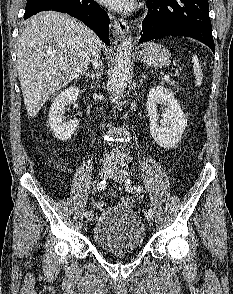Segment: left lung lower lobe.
Listing matches in <instances>:
<instances>
[{"label": "left lung lower lobe", "instance_id": "1", "mask_svg": "<svg viewBox=\"0 0 233 294\" xmlns=\"http://www.w3.org/2000/svg\"><path fill=\"white\" fill-rule=\"evenodd\" d=\"M139 43L164 36L197 39L215 52L207 0H148Z\"/></svg>", "mask_w": 233, "mask_h": 294}]
</instances>
